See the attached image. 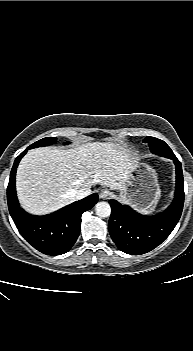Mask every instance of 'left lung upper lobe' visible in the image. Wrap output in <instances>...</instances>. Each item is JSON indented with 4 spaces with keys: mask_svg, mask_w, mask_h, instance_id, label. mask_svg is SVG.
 <instances>
[{
    "mask_svg": "<svg viewBox=\"0 0 193 351\" xmlns=\"http://www.w3.org/2000/svg\"><path fill=\"white\" fill-rule=\"evenodd\" d=\"M143 142L148 143L151 152L154 154L164 156L167 158L174 156V153L172 152L170 147L160 139L148 136L143 140Z\"/></svg>",
    "mask_w": 193,
    "mask_h": 351,
    "instance_id": "left-lung-upper-lobe-1",
    "label": "left lung upper lobe"
}]
</instances>
